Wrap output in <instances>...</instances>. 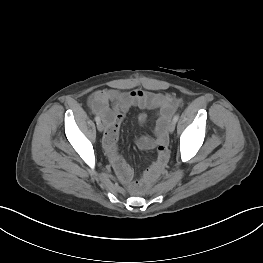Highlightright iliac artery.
Listing matches in <instances>:
<instances>
[{"mask_svg": "<svg viewBox=\"0 0 263 263\" xmlns=\"http://www.w3.org/2000/svg\"><path fill=\"white\" fill-rule=\"evenodd\" d=\"M95 121L97 122V123H99L101 120H100V117L99 116H96L95 117Z\"/></svg>", "mask_w": 263, "mask_h": 263, "instance_id": "obj_1", "label": "right iliac artery"}]
</instances>
